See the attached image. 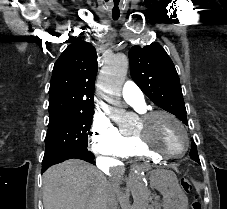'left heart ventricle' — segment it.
Here are the masks:
<instances>
[{"instance_id": "obj_1", "label": "left heart ventricle", "mask_w": 227, "mask_h": 209, "mask_svg": "<svg viewBox=\"0 0 227 209\" xmlns=\"http://www.w3.org/2000/svg\"><path fill=\"white\" fill-rule=\"evenodd\" d=\"M134 133L147 141L155 150L163 153L179 152L185 145V137L180 127L165 115L138 122Z\"/></svg>"}]
</instances>
